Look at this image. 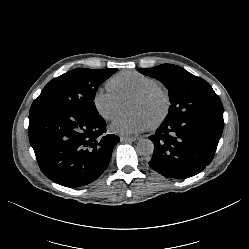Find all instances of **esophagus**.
<instances>
[{
    "mask_svg": "<svg viewBox=\"0 0 249 249\" xmlns=\"http://www.w3.org/2000/svg\"><path fill=\"white\" fill-rule=\"evenodd\" d=\"M121 142L122 143H130V142H134L136 140V138L134 137H127V136H121Z\"/></svg>",
    "mask_w": 249,
    "mask_h": 249,
    "instance_id": "obj_1",
    "label": "esophagus"
}]
</instances>
